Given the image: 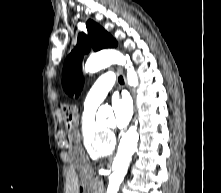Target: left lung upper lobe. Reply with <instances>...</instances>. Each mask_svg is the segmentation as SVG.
I'll use <instances>...</instances> for the list:
<instances>
[{"mask_svg": "<svg viewBox=\"0 0 221 193\" xmlns=\"http://www.w3.org/2000/svg\"><path fill=\"white\" fill-rule=\"evenodd\" d=\"M89 36L84 33L79 34L77 46L67 56L63 67V87L65 91L73 96H79L83 84L84 78L82 75L81 65L82 58L85 53H88L91 46L95 51L113 48L117 46V41L106 32L99 24L92 20H88L86 23Z\"/></svg>", "mask_w": 221, "mask_h": 193, "instance_id": "obj_1", "label": "left lung upper lobe"}]
</instances>
